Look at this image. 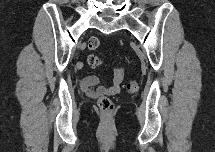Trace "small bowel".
<instances>
[{
    "mask_svg": "<svg viewBox=\"0 0 215 152\" xmlns=\"http://www.w3.org/2000/svg\"><path fill=\"white\" fill-rule=\"evenodd\" d=\"M122 79V70L116 68L110 86H103L97 76L88 75L80 80V88L88 97L97 98L102 95H111L118 93L120 91Z\"/></svg>",
    "mask_w": 215,
    "mask_h": 152,
    "instance_id": "1",
    "label": "small bowel"
}]
</instances>
